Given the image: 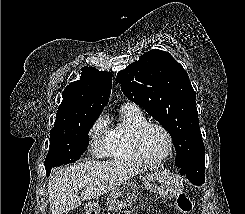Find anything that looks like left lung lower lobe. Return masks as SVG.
<instances>
[{
  "mask_svg": "<svg viewBox=\"0 0 245 214\" xmlns=\"http://www.w3.org/2000/svg\"><path fill=\"white\" fill-rule=\"evenodd\" d=\"M204 165V161H199L192 165L181 168L179 173L185 174L191 183L199 186L205 182Z\"/></svg>",
  "mask_w": 245,
  "mask_h": 214,
  "instance_id": "0a47b994",
  "label": "left lung lower lobe"
}]
</instances>
